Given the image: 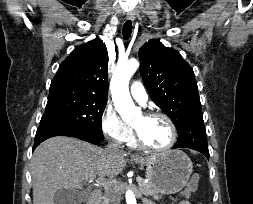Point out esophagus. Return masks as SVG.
Instances as JSON below:
<instances>
[{
    "mask_svg": "<svg viewBox=\"0 0 253 204\" xmlns=\"http://www.w3.org/2000/svg\"><path fill=\"white\" fill-rule=\"evenodd\" d=\"M126 18L128 20L133 21L135 19V14L133 12H128L127 15H126Z\"/></svg>",
    "mask_w": 253,
    "mask_h": 204,
    "instance_id": "obj_1",
    "label": "esophagus"
}]
</instances>
